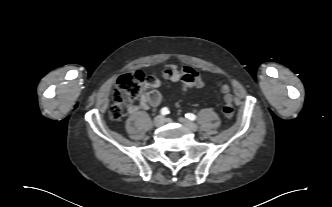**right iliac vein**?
<instances>
[{"label": "right iliac vein", "mask_w": 332, "mask_h": 207, "mask_svg": "<svg viewBox=\"0 0 332 207\" xmlns=\"http://www.w3.org/2000/svg\"><path fill=\"white\" fill-rule=\"evenodd\" d=\"M153 123H154V126H156V127H161V126H163L164 123H165V118H164L163 116H161V115L156 116V117L154 118Z\"/></svg>", "instance_id": "right-iliac-vein-1"}]
</instances>
